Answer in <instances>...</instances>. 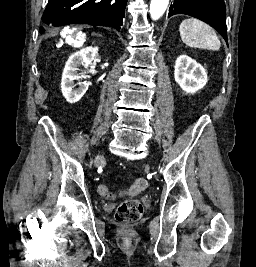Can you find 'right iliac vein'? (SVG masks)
Instances as JSON below:
<instances>
[{
  "label": "right iliac vein",
  "instance_id": "63e3f726",
  "mask_svg": "<svg viewBox=\"0 0 256 267\" xmlns=\"http://www.w3.org/2000/svg\"><path fill=\"white\" fill-rule=\"evenodd\" d=\"M103 159V155H97L94 159V165L98 167L100 165V161Z\"/></svg>",
  "mask_w": 256,
  "mask_h": 267
}]
</instances>
